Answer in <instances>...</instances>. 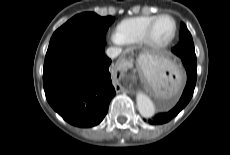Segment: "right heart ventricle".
<instances>
[{
	"label": "right heart ventricle",
	"mask_w": 230,
	"mask_h": 155,
	"mask_svg": "<svg viewBox=\"0 0 230 155\" xmlns=\"http://www.w3.org/2000/svg\"><path fill=\"white\" fill-rule=\"evenodd\" d=\"M155 17L156 15H142L124 19L116 26L115 35L122 44L140 42Z\"/></svg>",
	"instance_id": "obj_1"
}]
</instances>
